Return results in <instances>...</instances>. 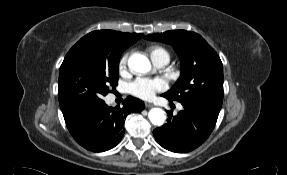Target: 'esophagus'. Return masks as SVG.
Returning a JSON list of instances; mask_svg holds the SVG:
<instances>
[{"instance_id": "34e87169", "label": "esophagus", "mask_w": 287, "mask_h": 175, "mask_svg": "<svg viewBox=\"0 0 287 175\" xmlns=\"http://www.w3.org/2000/svg\"><path fill=\"white\" fill-rule=\"evenodd\" d=\"M145 106H146L147 108H151V107H153L154 105H153L152 103L145 102Z\"/></svg>"}]
</instances>
